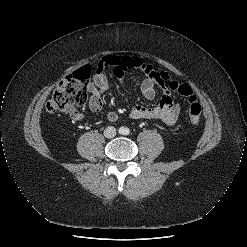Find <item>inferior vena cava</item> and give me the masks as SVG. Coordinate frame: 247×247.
I'll use <instances>...</instances> for the list:
<instances>
[{
    "label": "inferior vena cava",
    "mask_w": 247,
    "mask_h": 247,
    "mask_svg": "<svg viewBox=\"0 0 247 247\" xmlns=\"http://www.w3.org/2000/svg\"><path fill=\"white\" fill-rule=\"evenodd\" d=\"M116 135V128L113 126H108L105 130H104V136L106 138H113Z\"/></svg>",
    "instance_id": "602c4592"
}]
</instances>
